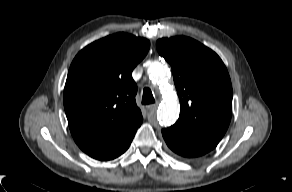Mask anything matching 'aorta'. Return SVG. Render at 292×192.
I'll return each mask as SVG.
<instances>
[{"instance_id":"obj_1","label":"aorta","mask_w":292,"mask_h":192,"mask_svg":"<svg viewBox=\"0 0 292 192\" xmlns=\"http://www.w3.org/2000/svg\"><path fill=\"white\" fill-rule=\"evenodd\" d=\"M147 71L152 82L157 84L165 83L170 78L169 67L160 61H152L148 65ZM179 111L180 106L178 100L174 97L168 98L158 108L157 119L160 124L169 126L177 120Z\"/></svg>"}]
</instances>
